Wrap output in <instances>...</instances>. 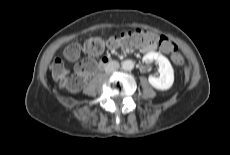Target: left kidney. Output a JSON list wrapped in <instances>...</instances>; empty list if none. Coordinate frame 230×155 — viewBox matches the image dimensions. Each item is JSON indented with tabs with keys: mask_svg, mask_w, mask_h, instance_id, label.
<instances>
[{
	"mask_svg": "<svg viewBox=\"0 0 230 155\" xmlns=\"http://www.w3.org/2000/svg\"><path fill=\"white\" fill-rule=\"evenodd\" d=\"M144 62L156 61L159 65V77L149 76V83L157 90H168L174 82V70L169 60L160 53L149 52L143 57Z\"/></svg>",
	"mask_w": 230,
	"mask_h": 155,
	"instance_id": "left-kidney-1",
	"label": "left kidney"
}]
</instances>
